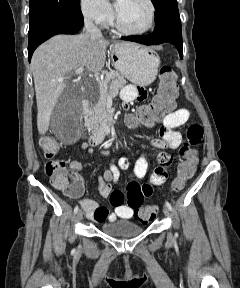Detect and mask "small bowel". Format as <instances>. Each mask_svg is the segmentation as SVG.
I'll list each match as a JSON object with an SVG mask.
<instances>
[{
	"instance_id": "small-bowel-1",
	"label": "small bowel",
	"mask_w": 240,
	"mask_h": 288,
	"mask_svg": "<svg viewBox=\"0 0 240 288\" xmlns=\"http://www.w3.org/2000/svg\"><path fill=\"white\" fill-rule=\"evenodd\" d=\"M121 98L125 107H128L133 101H143L147 98V91L143 87L128 85L121 91ZM191 111L187 108H179L162 119V127L159 131V137L150 141L151 145L156 149V158L160 165L156 167L150 177V183L139 184L138 180L142 179L148 169V161L145 155H141L133 166V176L135 180L128 184L127 192L138 191L144 199L150 197L153 193L152 185H162L166 182L170 170V156L164 151L165 149H176L182 143V134L178 129L188 123ZM203 137V128L198 123H193L187 130V143L194 145L201 141ZM81 151L92 153L93 149L88 143H81L79 146ZM103 154L107 155L108 151L104 150ZM130 162L126 157H120L115 165L105 170L98 176V189L103 197H109L114 212L110 213L108 208L100 206L92 199H81L80 205L84 209L88 219L103 223L105 221H113L118 218L129 219L134 215V209L125 204V195L121 190L113 189V182L118 178L119 171L127 170ZM83 166L79 161H71L69 163L70 173L78 179L83 185V178L79 174ZM82 191L76 195H69L70 198H78Z\"/></svg>"
}]
</instances>
